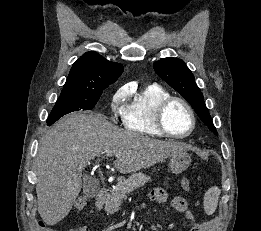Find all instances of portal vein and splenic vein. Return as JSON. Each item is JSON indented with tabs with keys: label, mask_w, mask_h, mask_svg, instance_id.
<instances>
[{
	"label": "portal vein and splenic vein",
	"mask_w": 261,
	"mask_h": 231,
	"mask_svg": "<svg viewBox=\"0 0 261 231\" xmlns=\"http://www.w3.org/2000/svg\"><path fill=\"white\" fill-rule=\"evenodd\" d=\"M103 154H105L106 156H112L115 153L114 152H103Z\"/></svg>",
	"instance_id": "18ae733b"
}]
</instances>
